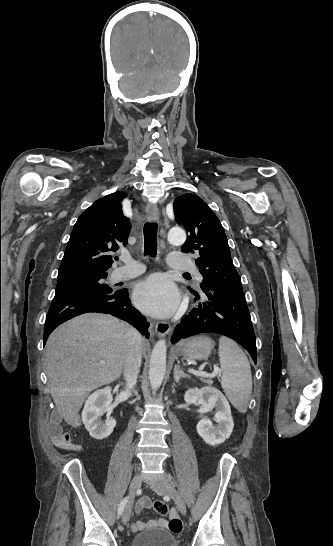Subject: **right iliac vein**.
<instances>
[{
    "instance_id": "1",
    "label": "right iliac vein",
    "mask_w": 333,
    "mask_h": 546,
    "mask_svg": "<svg viewBox=\"0 0 333 546\" xmlns=\"http://www.w3.org/2000/svg\"><path fill=\"white\" fill-rule=\"evenodd\" d=\"M141 484H142V477L140 475H136L130 483L129 495L131 498L139 490V488L141 487ZM131 508H132V499L128 501L123 511V514H122L123 524L128 523L130 519V515H131Z\"/></svg>"
}]
</instances>
